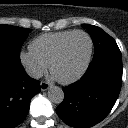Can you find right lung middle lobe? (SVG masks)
Listing matches in <instances>:
<instances>
[{
	"label": "right lung middle lobe",
	"instance_id": "right-lung-middle-lobe-1",
	"mask_svg": "<svg viewBox=\"0 0 128 128\" xmlns=\"http://www.w3.org/2000/svg\"><path fill=\"white\" fill-rule=\"evenodd\" d=\"M31 29L0 25V56L20 62L19 51Z\"/></svg>",
	"mask_w": 128,
	"mask_h": 128
}]
</instances>
